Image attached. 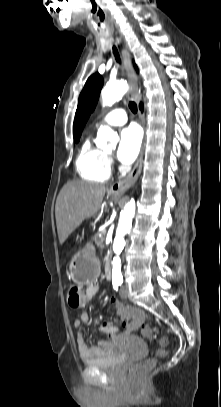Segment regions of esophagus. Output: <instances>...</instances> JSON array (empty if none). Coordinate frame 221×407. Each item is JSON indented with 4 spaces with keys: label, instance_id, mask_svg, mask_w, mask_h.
Returning <instances> with one entry per match:
<instances>
[{
    "label": "esophagus",
    "instance_id": "1",
    "mask_svg": "<svg viewBox=\"0 0 221 407\" xmlns=\"http://www.w3.org/2000/svg\"><path fill=\"white\" fill-rule=\"evenodd\" d=\"M117 42L118 44H121L122 40L120 37H117ZM122 56L124 59L126 75L132 87L129 92V98H131L135 102H138L140 96V91L137 88L138 78L132 67L131 55L127 47H123ZM141 121L142 124L144 125L145 121L143 115H141ZM143 154H144V145L141 148L138 160L134 165L133 169L131 170V172L126 177H124L123 179L119 180L118 182L111 186L110 191L112 193L118 195L123 194L136 182L142 170Z\"/></svg>",
    "mask_w": 221,
    "mask_h": 407
}]
</instances>
